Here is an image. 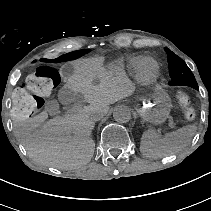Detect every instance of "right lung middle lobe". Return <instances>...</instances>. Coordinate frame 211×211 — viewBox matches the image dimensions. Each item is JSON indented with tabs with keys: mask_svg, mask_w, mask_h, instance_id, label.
<instances>
[{
	"mask_svg": "<svg viewBox=\"0 0 211 211\" xmlns=\"http://www.w3.org/2000/svg\"><path fill=\"white\" fill-rule=\"evenodd\" d=\"M90 52L89 49H84V50H78V51H74V52H70L67 54H64L56 59L53 60V62H63V61H68V60H73V59H77L81 56H83L84 54Z\"/></svg>",
	"mask_w": 211,
	"mask_h": 211,
	"instance_id": "right-lung-middle-lobe-1",
	"label": "right lung middle lobe"
}]
</instances>
